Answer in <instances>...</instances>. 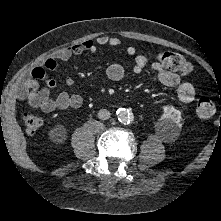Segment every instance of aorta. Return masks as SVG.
I'll return each instance as SVG.
<instances>
[{
  "label": "aorta",
  "instance_id": "762f6f07",
  "mask_svg": "<svg viewBox=\"0 0 221 221\" xmlns=\"http://www.w3.org/2000/svg\"><path fill=\"white\" fill-rule=\"evenodd\" d=\"M116 115L118 120L123 124H128L133 119L132 113L125 108L117 109Z\"/></svg>",
  "mask_w": 221,
  "mask_h": 221
}]
</instances>
